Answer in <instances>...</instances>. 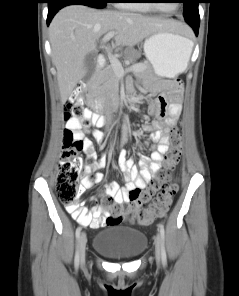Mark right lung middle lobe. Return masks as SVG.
<instances>
[{
    "instance_id": "dd1d6c3e",
    "label": "right lung middle lobe",
    "mask_w": 239,
    "mask_h": 296,
    "mask_svg": "<svg viewBox=\"0 0 239 296\" xmlns=\"http://www.w3.org/2000/svg\"><path fill=\"white\" fill-rule=\"evenodd\" d=\"M51 1V0H48ZM71 4H83L94 8H104L110 0H69Z\"/></svg>"
}]
</instances>
